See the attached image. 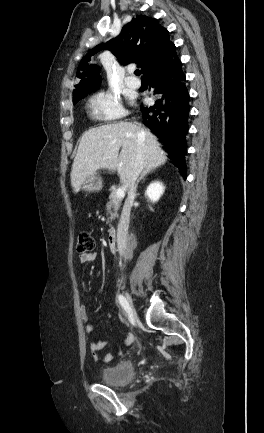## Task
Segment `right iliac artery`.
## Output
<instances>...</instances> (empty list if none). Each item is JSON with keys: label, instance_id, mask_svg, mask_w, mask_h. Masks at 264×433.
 <instances>
[{"label": "right iliac artery", "instance_id": "1", "mask_svg": "<svg viewBox=\"0 0 264 433\" xmlns=\"http://www.w3.org/2000/svg\"><path fill=\"white\" fill-rule=\"evenodd\" d=\"M118 301H119L121 307H122L126 312H128V311H129V305H128V302H127L126 298H125L123 295H119V296H118Z\"/></svg>", "mask_w": 264, "mask_h": 433}]
</instances>
